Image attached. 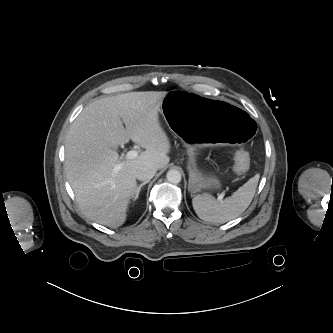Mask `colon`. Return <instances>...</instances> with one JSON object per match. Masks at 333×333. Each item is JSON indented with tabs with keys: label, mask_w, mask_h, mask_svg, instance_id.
I'll use <instances>...</instances> for the list:
<instances>
[{
	"label": "colon",
	"mask_w": 333,
	"mask_h": 333,
	"mask_svg": "<svg viewBox=\"0 0 333 333\" xmlns=\"http://www.w3.org/2000/svg\"><path fill=\"white\" fill-rule=\"evenodd\" d=\"M236 169L240 172H243L247 169L249 164V155L248 152L244 149H240L236 153Z\"/></svg>",
	"instance_id": "colon-1"
}]
</instances>
